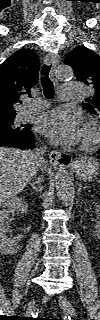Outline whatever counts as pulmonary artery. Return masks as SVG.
Instances as JSON below:
<instances>
[{"instance_id":"1","label":"pulmonary artery","mask_w":100,"mask_h":320,"mask_svg":"<svg viewBox=\"0 0 100 320\" xmlns=\"http://www.w3.org/2000/svg\"><path fill=\"white\" fill-rule=\"evenodd\" d=\"M81 86L77 83H68L60 87L59 99L62 101H72L80 93ZM48 102L45 100H35L26 104L24 113H38L48 107Z\"/></svg>"}]
</instances>
